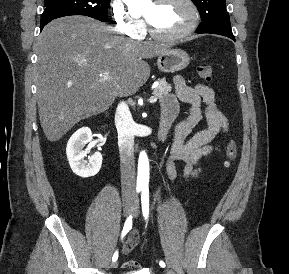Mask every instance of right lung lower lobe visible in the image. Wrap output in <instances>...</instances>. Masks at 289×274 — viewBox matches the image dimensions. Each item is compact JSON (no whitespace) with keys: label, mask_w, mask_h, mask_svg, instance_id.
<instances>
[{"label":"right lung lower lobe","mask_w":289,"mask_h":274,"mask_svg":"<svg viewBox=\"0 0 289 274\" xmlns=\"http://www.w3.org/2000/svg\"><path fill=\"white\" fill-rule=\"evenodd\" d=\"M51 20H48V21H45V22H41V24H40V30H42L43 29V27L47 24V23H49Z\"/></svg>","instance_id":"98d812e1"}]
</instances>
